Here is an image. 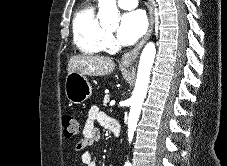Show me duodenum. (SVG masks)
<instances>
[{
  "mask_svg": "<svg viewBox=\"0 0 227 166\" xmlns=\"http://www.w3.org/2000/svg\"><path fill=\"white\" fill-rule=\"evenodd\" d=\"M109 129L112 131V133L115 136H119L120 132H121V127H120L119 121L115 118H110Z\"/></svg>",
  "mask_w": 227,
  "mask_h": 166,
  "instance_id": "410a0bca",
  "label": "duodenum"
}]
</instances>
